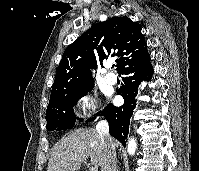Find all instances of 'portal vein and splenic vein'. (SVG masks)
<instances>
[{
  "label": "portal vein and splenic vein",
  "instance_id": "18ae733b",
  "mask_svg": "<svg viewBox=\"0 0 199 171\" xmlns=\"http://www.w3.org/2000/svg\"><path fill=\"white\" fill-rule=\"evenodd\" d=\"M81 162H85V159H82ZM90 171H98V167L93 166V167L90 168Z\"/></svg>",
  "mask_w": 199,
  "mask_h": 171
}]
</instances>
